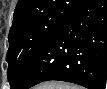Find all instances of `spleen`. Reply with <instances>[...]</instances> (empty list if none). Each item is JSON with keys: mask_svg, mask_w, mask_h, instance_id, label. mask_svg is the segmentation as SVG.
I'll list each match as a JSON object with an SVG mask.
<instances>
[{"mask_svg": "<svg viewBox=\"0 0 107 89\" xmlns=\"http://www.w3.org/2000/svg\"><path fill=\"white\" fill-rule=\"evenodd\" d=\"M57 89H80V87L78 86H71V85H67V84H58L57 85Z\"/></svg>", "mask_w": 107, "mask_h": 89, "instance_id": "obj_1", "label": "spleen"}]
</instances>
